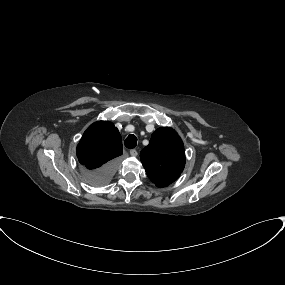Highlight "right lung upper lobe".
Listing matches in <instances>:
<instances>
[{"label":"right lung upper lobe","mask_w":285,"mask_h":285,"mask_svg":"<svg viewBox=\"0 0 285 285\" xmlns=\"http://www.w3.org/2000/svg\"><path fill=\"white\" fill-rule=\"evenodd\" d=\"M122 138L109 121H99L84 132L78 146L77 157L87 170H95L122 155Z\"/></svg>","instance_id":"right-lung-upper-lobe-1"}]
</instances>
